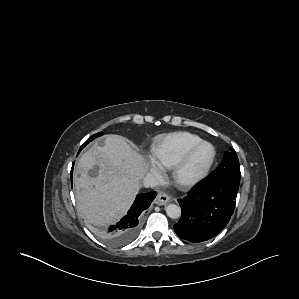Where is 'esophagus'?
<instances>
[{
	"mask_svg": "<svg viewBox=\"0 0 299 299\" xmlns=\"http://www.w3.org/2000/svg\"><path fill=\"white\" fill-rule=\"evenodd\" d=\"M171 200L170 196L167 195L164 192H160L158 193L156 199H155V203L158 205H165L167 204L169 201Z\"/></svg>",
	"mask_w": 299,
	"mask_h": 299,
	"instance_id": "obj_1",
	"label": "esophagus"
}]
</instances>
